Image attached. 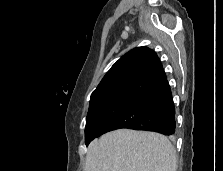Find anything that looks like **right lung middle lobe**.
<instances>
[{"instance_id": "1", "label": "right lung middle lobe", "mask_w": 223, "mask_h": 171, "mask_svg": "<svg viewBox=\"0 0 223 171\" xmlns=\"http://www.w3.org/2000/svg\"><path fill=\"white\" fill-rule=\"evenodd\" d=\"M135 98L136 95L117 94L90 102L85 127L86 145L99 137L102 129Z\"/></svg>"}]
</instances>
